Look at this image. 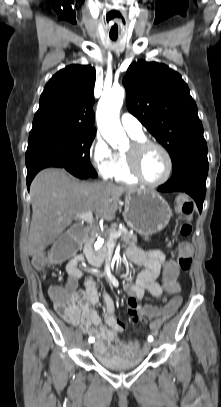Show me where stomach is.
I'll list each match as a JSON object with an SVG mask.
<instances>
[{
	"mask_svg": "<svg viewBox=\"0 0 221 407\" xmlns=\"http://www.w3.org/2000/svg\"><path fill=\"white\" fill-rule=\"evenodd\" d=\"M123 216L130 228L148 238L167 226L172 210L157 192L138 190L126 193Z\"/></svg>",
	"mask_w": 221,
	"mask_h": 407,
	"instance_id": "obj_1",
	"label": "stomach"
}]
</instances>
